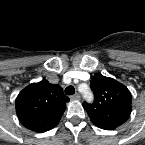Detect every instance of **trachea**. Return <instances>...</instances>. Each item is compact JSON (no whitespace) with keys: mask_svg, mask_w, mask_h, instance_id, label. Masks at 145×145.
Segmentation results:
<instances>
[{"mask_svg":"<svg viewBox=\"0 0 145 145\" xmlns=\"http://www.w3.org/2000/svg\"><path fill=\"white\" fill-rule=\"evenodd\" d=\"M75 93V89L73 86H68L66 89H65V94L66 95H73Z\"/></svg>","mask_w":145,"mask_h":145,"instance_id":"trachea-1","label":"trachea"}]
</instances>
